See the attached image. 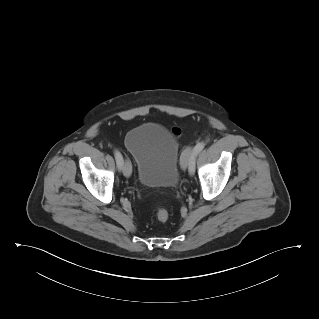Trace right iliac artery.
I'll use <instances>...</instances> for the list:
<instances>
[{"label": "right iliac artery", "instance_id": "1", "mask_svg": "<svg viewBox=\"0 0 319 319\" xmlns=\"http://www.w3.org/2000/svg\"><path fill=\"white\" fill-rule=\"evenodd\" d=\"M114 156H115V159H116L117 167H118L119 170H121V168L123 166L122 154L118 150H115L114 151Z\"/></svg>", "mask_w": 319, "mask_h": 319}]
</instances>
